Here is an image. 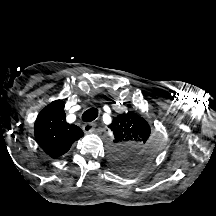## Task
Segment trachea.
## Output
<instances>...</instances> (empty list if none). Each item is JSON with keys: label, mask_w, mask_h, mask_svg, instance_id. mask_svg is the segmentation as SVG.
<instances>
[{"label": "trachea", "mask_w": 216, "mask_h": 216, "mask_svg": "<svg viewBox=\"0 0 216 216\" xmlns=\"http://www.w3.org/2000/svg\"><path fill=\"white\" fill-rule=\"evenodd\" d=\"M98 116V109L97 108H90L85 111L82 115V120L84 122H92Z\"/></svg>", "instance_id": "1"}]
</instances>
